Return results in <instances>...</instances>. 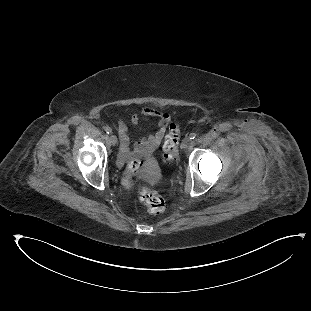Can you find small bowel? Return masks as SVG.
Returning a JSON list of instances; mask_svg holds the SVG:
<instances>
[{"label":"small bowel","instance_id":"c3829d8e","mask_svg":"<svg viewBox=\"0 0 311 311\" xmlns=\"http://www.w3.org/2000/svg\"><path fill=\"white\" fill-rule=\"evenodd\" d=\"M142 117L156 118L157 130L150 136L133 141L129 135L128 124L122 121L119 122L117 129L120 136L121 154L123 157H127L132 149L145 154L153 153L162 142L171 120L169 113L160 111L155 106H146L143 107L139 112L131 115L129 119V125L134 126L138 124Z\"/></svg>","mask_w":311,"mask_h":311}]
</instances>
